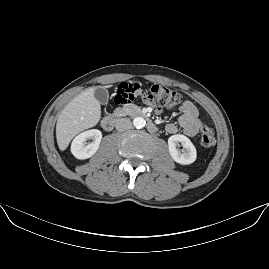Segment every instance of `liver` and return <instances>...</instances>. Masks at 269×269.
Returning a JSON list of instances; mask_svg holds the SVG:
<instances>
[{"mask_svg":"<svg viewBox=\"0 0 269 269\" xmlns=\"http://www.w3.org/2000/svg\"><path fill=\"white\" fill-rule=\"evenodd\" d=\"M100 118V103L94 97V88H88L75 97L61 112L56 125L59 148L64 150L75 135L94 126Z\"/></svg>","mask_w":269,"mask_h":269,"instance_id":"6515ba94","label":"liver"}]
</instances>
